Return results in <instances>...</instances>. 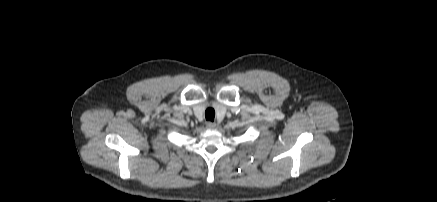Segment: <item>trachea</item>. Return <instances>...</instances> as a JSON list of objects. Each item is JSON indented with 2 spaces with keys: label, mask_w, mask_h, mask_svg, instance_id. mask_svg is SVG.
I'll return each mask as SVG.
<instances>
[{
  "label": "trachea",
  "mask_w": 437,
  "mask_h": 202,
  "mask_svg": "<svg viewBox=\"0 0 437 202\" xmlns=\"http://www.w3.org/2000/svg\"><path fill=\"white\" fill-rule=\"evenodd\" d=\"M205 116L206 119L209 121H213L214 120V116H215V111L212 108H208L205 112Z\"/></svg>",
  "instance_id": "1"
}]
</instances>
